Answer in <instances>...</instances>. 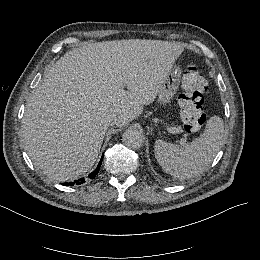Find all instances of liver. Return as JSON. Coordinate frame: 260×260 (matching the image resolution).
<instances>
[{"mask_svg":"<svg viewBox=\"0 0 260 260\" xmlns=\"http://www.w3.org/2000/svg\"><path fill=\"white\" fill-rule=\"evenodd\" d=\"M183 51L178 43L156 40L91 43L68 51L25 107L21 134L34 165L58 181L88 171L108 117L124 127L141 115Z\"/></svg>","mask_w":260,"mask_h":260,"instance_id":"obj_1","label":"liver"}]
</instances>
